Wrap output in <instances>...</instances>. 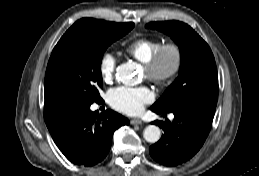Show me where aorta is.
<instances>
[{"label": "aorta", "mask_w": 259, "mask_h": 176, "mask_svg": "<svg viewBox=\"0 0 259 176\" xmlns=\"http://www.w3.org/2000/svg\"><path fill=\"white\" fill-rule=\"evenodd\" d=\"M116 78L126 86H134L140 82L138 67L133 62L123 63L117 68ZM144 139L156 143L161 138V130L156 125H148L143 132Z\"/></svg>", "instance_id": "1"}]
</instances>
